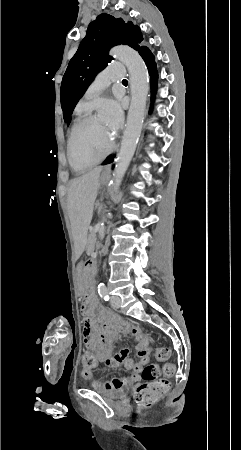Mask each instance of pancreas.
<instances>
[{"label": "pancreas", "mask_w": 241, "mask_h": 450, "mask_svg": "<svg viewBox=\"0 0 241 450\" xmlns=\"http://www.w3.org/2000/svg\"><path fill=\"white\" fill-rule=\"evenodd\" d=\"M96 229V227L94 226V227H92L91 228V232H88V237H91L89 240V245H88V250H94V246H96V241H97V238L94 236L95 234V232H97L95 229Z\"/></svg>", "instance_id": "cf45deb5"}]
</instances>
